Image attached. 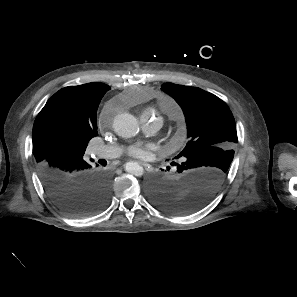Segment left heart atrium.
Instances as JSON below:
<instances>
[{"label": "left heart atrium", "mask_w": 297, "mask_h": 297, "mask_svg": "<svg viewBox=\"0 0 297 297\" xmlns=\"http://www.w3.org/2000/svg\"><path fill=\"white\" fill-rule=\"evenodd\" d=\"M153 146L150 144H133L129 146L128 153L136 158L139 159H147L150 157V151L152 150Z\"/></svg>", "instance_id": "left-heart-atrium-1"}]
</instances>
